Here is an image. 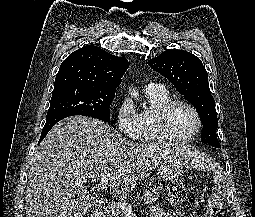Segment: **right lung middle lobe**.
Wrapping results in <instances>:
<instances>
[{"label":"right lung middle lobe","mask_w":255,"mask_h":217,"mask_svg":"<svg viewBox=\"0 0 255 217\" xmlns=\"http://www.w3.org/2000/svg\"><path fill=\"white\" fill-rule=\"evenodd\" d=\"M115 91L98 90L84 86L54 88L47 117L57 113L84 115L109 122L110 105Z\"/></svg>","instance_id":"obj_1"}]
</instances>
